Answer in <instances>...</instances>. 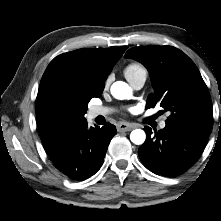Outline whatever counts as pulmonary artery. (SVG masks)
Segmentation results:
<instances>
[{
	"label": "pulmonary artery",
	"mask_w": 221,
	"mask_h": 221,
	"mask_svg": "<svg viewBox=\"0 0 221 221\" xmlns=\"http://www.w3.org/2000/svg\"><path fill=\"white\" fill-rule=\"evenodd\" d=\"M128 81L130 82L131 86L135 89V90H140L146 81V72L140 73L134 77L131 78H127ZM113 112L112 108H108V107H103V106H95L93 107L90 112L89 115L91 118H95L99 115H108L110 113ZM166 126L164 121L160 122V128H164Z\"/></svg>",
	"instance_id": "e3ab8cb5"
}]
</instances>
